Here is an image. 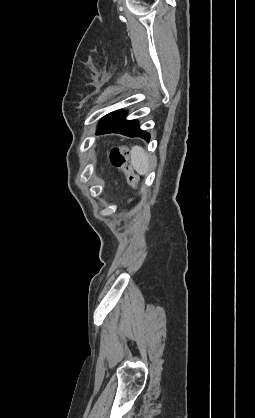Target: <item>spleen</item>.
<instances>
[{
	"label": "spleen",
	"instance_id": "obj_1",
	"mask_svg": "<svg viewBox=\"0 0 255 418\" xmlns=\"http://www.w3.org/2000/svg\"><path fill=\"white\" fill-rule=\"evenodd\" d=\"M131 164L139 175H146L149 171V157L141 146H134L130 152Z\"/></svg>",
	"mask_w": 255,
	"mask_h": 418
}]
</instances>
